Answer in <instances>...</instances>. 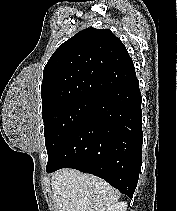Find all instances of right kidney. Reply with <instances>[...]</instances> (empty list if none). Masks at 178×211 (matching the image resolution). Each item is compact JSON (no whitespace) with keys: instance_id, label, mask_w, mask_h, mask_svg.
Instances as JSON below:
<instances>
[{"instance_id":"obj_1","label":"right kidney","mask_w":178,"mask_h":211,"mask_svg":"<svg viewBox=\"0 0 178 211\" xmlns=\"http://www.w3.org/2000/svg\"><path fill=\"white\" fill-rule=\"evenodd\" d=\"M127 202H118L108 208L107 211H126Z\"/></svg>"}]
</instances>
